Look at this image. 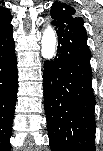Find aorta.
<instances>
[{
	"mask_svg": "<svg viewBox=\"0 0 103 151\" xmlns=\"http://www.w3.org/2000/svg\"><path fill=\"white\" fill-rule=\"evenodd\" d=\"M57 50V36L54 28L48 26L41 39V54L44 59L51 60L54 58Z\"/></svg>",
	"mask_w": 103,
	"mask_h": 151,
	"instance_id": "obj_1",
	"label": "aorta"
}]
</instances>
